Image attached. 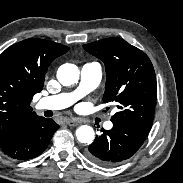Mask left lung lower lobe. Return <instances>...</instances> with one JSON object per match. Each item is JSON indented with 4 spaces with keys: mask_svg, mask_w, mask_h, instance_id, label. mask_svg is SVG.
Listing matches in <instances>:
<instances>
[{
    "mask_svg": "<svg viewBox=\"0 0 183 183\" xmlns=\"http://www.w3.org/2000/svg\"><path fill=\"white\" fill-rule=\"evenodd\" d=\"M86 151L94 163L111 167L129 159L144 143L149 132L128 122H113L111 130L102 129Z\"/></svg>",
    "mask_w": 183,
    "mask_h": 183,
    "instance_id": "obj_1",
    "label": "left lung lower lobe"
}]
</instances>
